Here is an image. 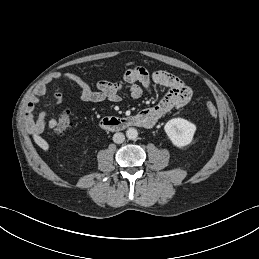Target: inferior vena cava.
<instances>
[{"label": "inferior vena cava", "instance_id": "inferior-vena-cava-1", "mask_svg": "<svg viewBox=\"0 0 259 259\" xmlns=\"http://www.w3.org/2000/svg\"><path fill=\"white\" fill-rule=\"evenodd\" d=\"M124 140H125V136H124L123 133H119V132H118V133H115V134L113 135V141H114L115 143H117V144L123 143Z\"/></svg>", "mask_w": 259, "mask_h": 259}]
</instances>
